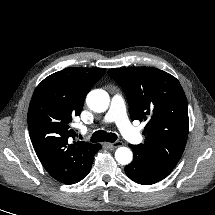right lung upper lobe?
I'll return each instance as SVG.
<instances>
[{
    "instance_id": "cb5924a9",
    "label": "right lung upper lobe",
    "mask_w": 215,
    "mask_h": 215,
    "mask_svg": "<svg viewBox=\"0 0 215 215\" xmlns=\"http://www.w3.org/2000/svg\"><path fill=\"white\" fill-rule=\"evenodd\" d=\"M104 68H66L45 78L35 89L28 110V128L36 154L56 180L74 184L90 169L98 144L72 141L71 122Z\"/></svg>"
}]
</instances>
